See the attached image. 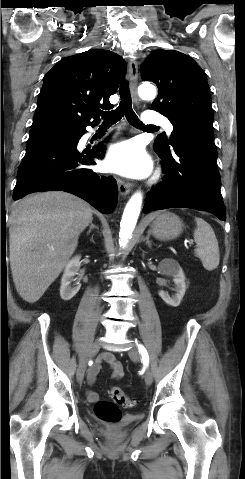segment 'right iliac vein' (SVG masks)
<instances>
[{"label": "right iliac vein", "mask_w": 245, "mask_h": 479, "mask_svg": "<svg viewBox=\"0 0 245 479\" xmlns=\"http://www.w3.org/2000/svg\"><path fill=\"white\" fill-rule=\"evenodd\" d=\"M100 345H101V341L96 340L91 345L87 355L80 361L78 369H77V374H76L77 380L80 384H82L83 379H84L87 361L99 351Z\"/></svg>", "instance_id": "obj_1"}]
</instances>
